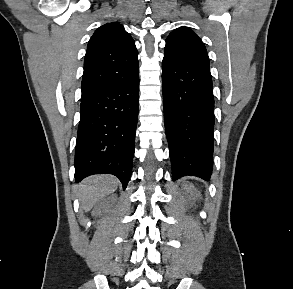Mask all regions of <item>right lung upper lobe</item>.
Returning <instances> with one entry per match:
<instances>
[{
    "instance_id": "right-lung-upper-lobe-1",
    "label": "right lung upper lobe",
    "mask_w": 293,
    "mask_h": 289,
    "mask_svg": "<svg viewBox=\"0 0 293 289\" xmlns=\"http://www.w3.org/2000/svg\"><path fill=\"white\" fill-rule=\"evenodd\" d=\"M138 51L119 23L99 27L91 37L84 60L81 100L138 76Z\"/></svg>"
}]
</instances>
